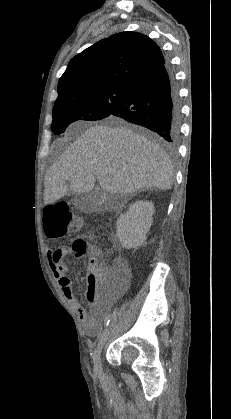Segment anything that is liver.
<instances>
[{
  "mask_svg": "<svg viewBox=\"0 0 231 419\" xmlns=\"http://www.w3.org/2000/svg\"><path fill=\"white\" fill-rule=\"evenodd\" d=\"M96 180L110 194L142 189L168 190L173 168L166 153L128 127L105 124L88 128L49 168L44 179V204L73 193L93 190Z\"/></svg>",
  "mask_w": 231,
  "mask_h": 419,
  "instance_id": "obj_1",
  "label": "liver"
}]
</instances>
